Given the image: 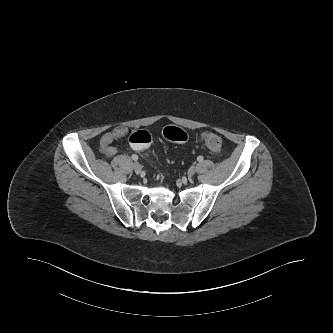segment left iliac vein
<instances>
[{"instance_id":"1","label":"left iliac vein","mask_w":333,"mask_h":333,"mask_svg":"<svg viewBox=\"0 0 333 333\" xmlns=\"http://www.w3.org/2000/svg\"><path fill=\"white\" fill-rule=\"evenodd\" d=\"M196 171H197V168H196L195 166H191V167L189 168V170H188V176H189V177L194 176L195 173H196Z\"/></svg>"}]
</instances>
